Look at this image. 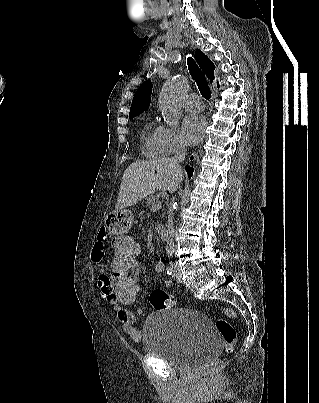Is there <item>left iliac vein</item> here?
I'll return each instance as SVG.
<instances>
[{"label":"left iliac vein","instance_id":"obj_1","mask_svg":"<svg viewBox=\"0 0 319 403\" xmlns=\"http://www.w3.org/2000/svg\"><path fill=\"white\" fill-rule=\"evenodd\" d=\"M172 267H173V272H174L173 273L174 279L180 283L181 282V271L176 264H173Z\"/></svg>","mask_w":319,"mask_h":403}]
</instances>
